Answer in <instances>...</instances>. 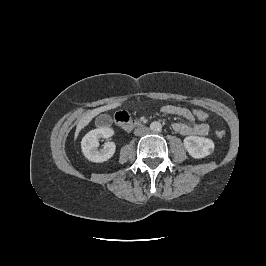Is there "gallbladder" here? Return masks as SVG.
Listing matches in <instances>:
<instances>
[{"label": "gallbladder", "mask_w": 266, "mask_h": 266, "mask_svg": "<svg viewBox=\"0 0 266 266\" xmlns=\"http://www.w3.org/2000/svg\"><path fill=\"white\" fill-rule=\"evenodd\" d=\"M96 123L98 125H108L112 123V118L107 114H103L97 117Z\"/></svg>", "instance_id": "gallbladder-1"}]
</instances>
